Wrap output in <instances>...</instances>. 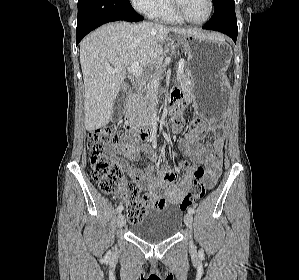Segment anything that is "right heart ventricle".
Segmentation results:
<instances>
[{
    "mask_svg": "<svg viewBox=\"0 0 299 280\" xmlns=\"http://www.w3.org/2000/svg\"><path fill=\"white\" fill-rule=\"evenodd\" d=\"M149 16L165 23L181 24L184 22L174 13L169 0H157Z\"/></svg>",
    "mask_w": 299,
    "mask_h": 280,
    "instance_id": "1",
    "label": "right heart ventricle"
}]
</instances>
